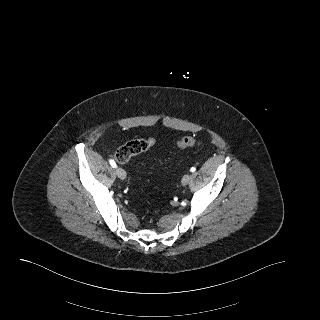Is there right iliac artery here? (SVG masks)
<instances>
[{"label":"right iliac artery","mask_w":320,"mask_h":320,"mask_svg":"<svg viewBox=\"0 0 320 320\" xmlns=\"http://www.w3.org/2000/svg\"><path fill=\"white\" fill-rule=\"evenodd\" d=\"M109 163H110V165H111L113 168L116 167V163H115L114 160L111 159V160L109 161Z\"/></svg>","instance_id":"right-iliac-artery-1"}]
</instances>
